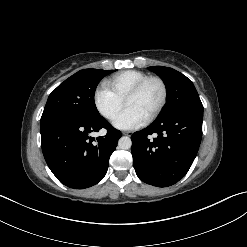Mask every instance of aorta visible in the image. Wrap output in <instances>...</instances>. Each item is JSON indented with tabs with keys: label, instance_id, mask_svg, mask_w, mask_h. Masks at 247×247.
<instances>
[{
	"label": "aorta",
	"instance_id": "aorta-1",
	"mask_svg": "<svg viewBox=\"0 0 247 247\" xmlns=\"http://www.w3.org/2000/svg\"><path fill=\"white\" fill-rule=\"evenodd\" d=\"M118 146H119L120 149L128 150L132 146V141H131V139L129 137L123 136V137H121L119 139Z\"/></svg>",
	"mask_w": 247,
	"mask_h": 247
}]
</instances>
